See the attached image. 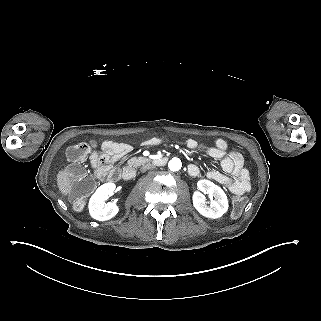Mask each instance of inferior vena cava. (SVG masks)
Here are the masks:
<instances>
[{
    "mask_svg": "<svg viewBox=\"0 0 321 321\" xmlns=\"http://www.w3.org/2000/svg\"><path fill=\"white\" fill-rule=\"evenodd\" d=\"M155 166L154 165H152V164H146V165H143L141 168H140V170H141V172H145V171H147V170H149V169H152V168H154Z\"/></svg>",
    "mask_w": 321,
    "mask_h": 321,
    "instance_id": "1",
    "label": "inferior vena cava"
}]
</instances>
